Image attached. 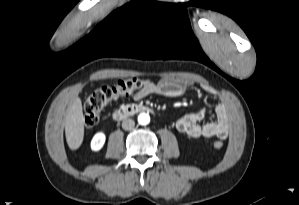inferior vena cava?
I'll use <instances>...</instances> for the list:
<instances>
[{"mask_svg": "<svg viewBox=\"0 0 299 205\" xmlns=\"http://www.w3.org/2000/svg\"><path fill=\"white\" fill-rule=\"evenodd\" d=\"M135 126V122L132 119H125L122 122V128L124 130H132Z\"/></svg>", "mask_w": 299, "mask_h": 205, "instance_id": "inferior-vena-cava-1", "label": "inferior vena cava"}]
</instances>
